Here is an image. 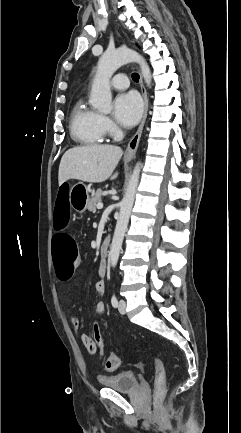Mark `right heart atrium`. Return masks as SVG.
Masks as SVG:
<instances>
[{"label": "right heart atrium", "mask_w": 241, "mask_h": 433, "mask_svg": "<svg viewBox=\"0 0 241 433\" xmlns=\"http://www.w3.org/2000/svg\"><path fill=\"white\" fill-rule=\"evenodd\" d=\"M101 122L106 132L111 134L117 132L116 126L114 125V123L111 121L109 117L101 116Z\"/></svg>", "instance_id": "obj_1"}]
</instances>
